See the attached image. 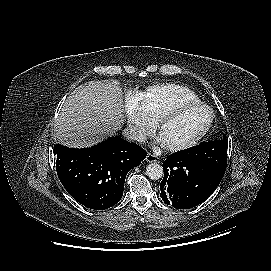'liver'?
Wrapping results in <instances>:
<instances>
[{"label": "liver", "instance_id": "1", "mask_svg": "<svg viewBox=\"0 0 271 271\" xmlns=\"http://www.w3.org/2000/svg\"><path fill=\"white\" fill-rule=\"evenodd\" d=\"M124 109L121 87L100 81L80 85L65 100L54 137L69 147H90L121 129Z\"/></svg>", "mask_w": 271, "mask_h": 271}]
</instances>
